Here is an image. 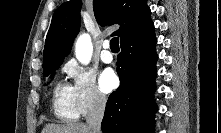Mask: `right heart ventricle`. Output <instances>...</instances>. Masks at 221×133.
<instances>
[{
	"instance_id": "right-heart-ventricle-1",
	"label": "right heart ventricle",
	"mask_w": 221,
	"mask_h": 133,
	"mask_svg": "<svg viewBox=\"0 0 221 133\" xmlns=\"http://www.w3.org/2000/svg\"><path fill=\"white\" fill-rule=\"evenodd\" d=\"M54 115L63 121H75L79 117L70 86L57 83L52 93Z\"/></svg>"
}]
</instances>
